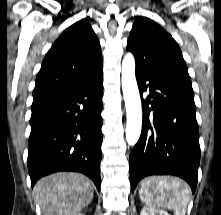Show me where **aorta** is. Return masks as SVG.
I'll return each mask as SVG.
<instances>
[{"mask_svg":"<svg viewBox=\"0 0 221 215\" xmlns=\"http://www.w3.org/2000/svg\"><path fill=\"white\" fill-rule=\"evenodd\" d=\"M122 90L126 106V141L133 146L139 140L142 128V107L135 77V59L127 53L122 61Z\"/></svg>","mask_w":221,"mask_h":215,"instance_id":"obj_1","label":"aorta"}]
</instances>
